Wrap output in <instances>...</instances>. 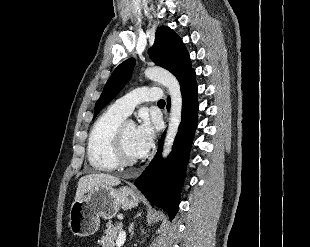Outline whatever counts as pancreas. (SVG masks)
<instances>
[{"instance_id":"obj_1","label":"pancreas","mask_w":310,"mask_h":247,"mask_svg":"<svg viewBox=\"0 0 310 247\" xmlns=\"http://www.w3.org/2000/svg\"><path fill=\"white\" fill-rule=\"evenodd\" d=\"M106 227L105 235L101 238L102 247H114L119 234L122 232L123 225L121 223L113 225L108 222Z\"/></svg>"}]
</instances>
